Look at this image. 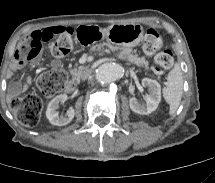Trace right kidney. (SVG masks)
Returning a JSON list of instances; mask_svg holds the SVG:
<instances>
[{"instance_id":"right-kidney-1","label":"right kidney","mask_w":215,"mask_h":183,"mask_svg":"<svg viewBox=\"0 0 215 183\" xmlns=\"http://www.w3.org/2000/svg\"><path fill=\"white\" fill-rule=\"evenodd\" d=\"M66 99V94H60L49 102L46 110V117L52 125L64 126L73 120L75 115V110L73 108H69L65 115H59L57 112L59 103L64 102Z\"/></svg>"}]
</instances>
